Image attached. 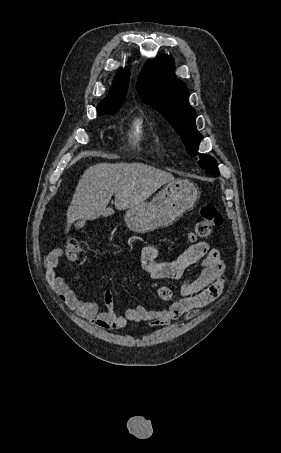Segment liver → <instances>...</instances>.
<instances>
[{"label": "liver", "mask_w": 281, "mask_h": 453, "mask_svg": "<svg viewBox=\"0 0 281 453\" xmlns=\"http://www.w3.org/2000/svg\"><path fill=\"white\" fill-rule=\"evenodd\" d=\"M170 180H174L171 172L144 162H98L88 166L78 180L67 210L65 231L69 233L78 218L94 220L113 214L115 210L107 206L112 194L117 210H125L144 202Z\"/></svg>", "instance_id": "6515ba94"}]
</instances>
